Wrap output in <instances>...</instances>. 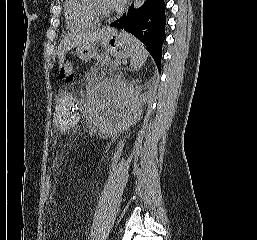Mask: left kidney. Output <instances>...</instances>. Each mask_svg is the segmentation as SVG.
<instances>
[{"mask_svg":"<svg viewBox=\"0 0 257 240\" xmlns=\"http://www.w3.org/2000/svg\"><path fill=\"white\" fill-rule=\"evenodd\" d=\"M93 105L99 127L112 134L128 129L142 113L136 89L129 82L116 78L98 84Z\"/></svg>","mask_w":257,"mask_h":240,"instance_id":"obj_1","label":"left kidney"}]
</instances>
